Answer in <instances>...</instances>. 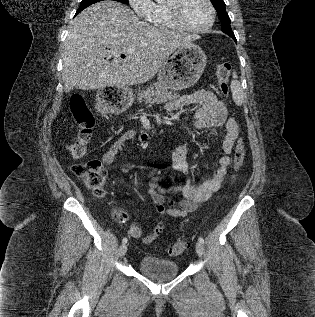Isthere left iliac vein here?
I'll list each match as a JSON object with an SVG mask.
<instances>
[{
    "label": "left iliac vein",
    "instance_id": "obj_1",
    "mask_svg": "<svg viewBox=\"0 0 315 317\" xmlns=\"http://www.w3.org/2000/svg\"><path fill=\"white\" fill-rule=\"evenodd\" d=\"M196 252L198 254V256L202 257L204 255V247L202 245V243L197 242L196 243Z\"/></svg>",
    "mask_w": 315,
    "mask_h": 317
}]
</instances>
